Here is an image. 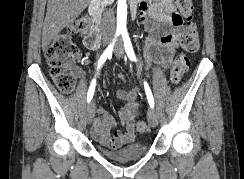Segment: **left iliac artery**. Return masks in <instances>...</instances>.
<instances>
[{"instance_id": "1", "label": "left iliac artery", "mask_w": 244, "mask_h": 179, "mask_svg": "<svg viewBox=\"0 0 244 179\" xmlns=\"http://www.w3.org/2000/svg\"><path fill=\"white\" fill-rule=\"evenodd\" d=\"M121 34H122L124 47H125V51H126L128 58L132 61L137 62L136 56H135V53H134V50H133V47H132V44L130 41V37H129L127 30L123 31ZM144 88H145V92L147 95L149 105L151 108H153L154 107V98H153L152 92L150 90V87L146 81H144Z\"/></svg>"}]
</instances>
